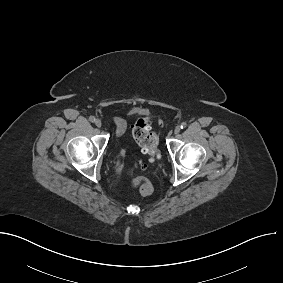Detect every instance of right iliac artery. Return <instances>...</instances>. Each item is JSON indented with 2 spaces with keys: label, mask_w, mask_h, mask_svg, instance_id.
I'll return each instance as SVG.
<instances>
[{
  "label": "right iliac artery",
  "mask_w": 283,
  "mask_h": 283,
  "mask_svg": "<svg viewBox=\"0 0 283 283\" xmlns=\"http://www.w3.org/2000/svg\"><path fill=\"white\" fill-rule=\"evenodd\" d=\"M89 120H90L91 122H95V121H96V118H95L94 116H90V117H89Z\"/></svg>",
  "instance_id": "82829eb1"
}]
</instances>
